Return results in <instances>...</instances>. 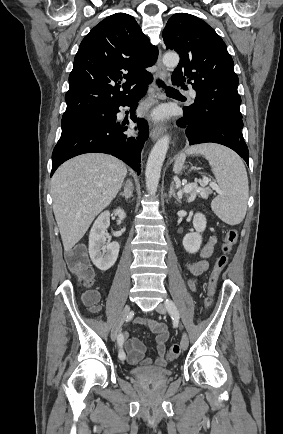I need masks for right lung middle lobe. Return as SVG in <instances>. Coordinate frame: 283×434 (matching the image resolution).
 Listing matches in <instances>:
<instances>
[{
    "label": "right lung middle lobe",
    "mask_w": 283,
    "mask_h": 434,
    "mask_svg": "<svg viewBox=\"0 0 283 434\" xmlns=\"http://www.w3.org/2000/svg\"><path fill=\"white\" fill-rule=\"evenodd\" d=\"M103 114H104V113H103ZM100 115H102V114H100ZM97 116H99V115H97ZM94 117H95V116H94ZM77 121H79V120H62V121H61V127H62V129H63V128H66V127L72 125L73 123H75V122H77Z\"/></svg>",
    "instance_id": "obj_1"
}]
</instances>
